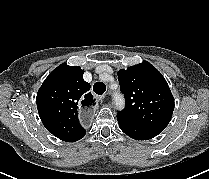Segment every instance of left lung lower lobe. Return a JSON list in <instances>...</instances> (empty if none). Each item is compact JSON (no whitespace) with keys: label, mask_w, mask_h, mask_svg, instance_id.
<instances>
[{"label":"left lung lower lobe","mask_w":209,"mask_h":179,"mask_svg":"<svg viewBox=\"0 0 209 179\" xmlns=\"http://www.w3.org/2000/svg\"><path fill=\"white\" fill-rule=\"evenodd\" d=\"M118 124L120 129L129 137L135 139V140H148L155 136H157L159 133L149 130L147 128L138 126L132 122H129L128 120L117 116Z\"/></svg>","instance_id":"0a47b994"}]
</instances>
